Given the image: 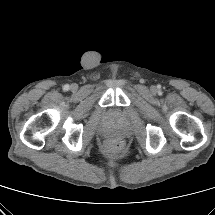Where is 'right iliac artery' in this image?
Instances as JSON below:
<instances>
[{
    "instance_id": "right-iliac-artery-1",
    "label": "right iliac artery",
    "mask_w": 215,
    "mask_h": 215,
    "mask_svg": "<svg viewBox=\"0 0 215 215\" xmlns=\"http://www.w3.org/2000/svg\"><path fill=\"white\" fill-rule=\"evenodd\" d=\"M69 85L68 84H66V85H64V87H63V89L65 90V91H68L69 90Z\"/></svg>"
}]
</instances>
